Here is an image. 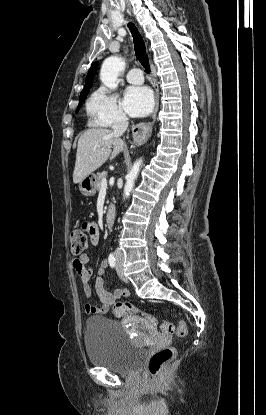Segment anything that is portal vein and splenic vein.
<instances>
[{"instance_id": "obj_1", "label": "portal vein and splenic vein", "mask_w": 266, "mask_h": 415, "mask_svg": "<svg viewBox=\"0 0 266 415\" xmlns=\"http://www.w3.org/2000/svg\"><path fill=\"white\" fill-rule=\"evenodd\" d=\"M101 188L102 189H106L107 188V180H106V178L102 179V181H101Z\"/></svg>"}]
</instances>
